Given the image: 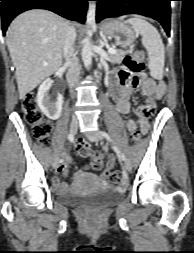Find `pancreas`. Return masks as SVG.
Instances as JSON below:
<instances>
[{"label":"pancreas","instance_id":"pancreas-1","mask_svg":"<svg viewBox=\"0 0 194 253\" xmlns=\"http://www.w3.org/2000/svg\"><path fill=\"white\" fill-rule=\"evenodd\" d=\"M126 55L125 51L116 50L115 54H109L111 63H121Z\"/></svg>","mask_w":194,"mask_h":253}]
</instances>
